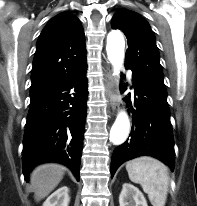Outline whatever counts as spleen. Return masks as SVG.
I'll use <instances>...</instances> for the list:
<instances>
[{"label": "spleen", "mask_w": 197, "mask_h": 206, "mask_svg": "<svg viewBox=\"0 0 197 206\" xmlns=\"http://www.w3.org/2000/svg\"><path fill=\"white\" fill-rule=\"evenodd\" d=\"M129 179L140 184L153 206H165L169 174L167 167L157 159L142 156L126 164Z\"/></svg>", "instance_id": "1"}]
</instances>
